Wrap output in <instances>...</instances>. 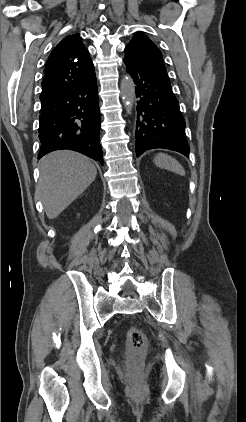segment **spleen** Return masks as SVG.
<instances>
[{
	"label": "spleen",
	"mask_w": 246,
	"mask_h": 422,
	"mask_svg": "<svg viewBox=\"0 0 246 422\" xmlns=\"http://www.w3.org/2000/svg\"><path fill=\"white\" fill-rule=\"evenodd\" d=\"M154 163L160 168L175 172L182 176L185 175V170L182 165L168 154L158 153L154 158Z\"/></svg>",
	"instance_id": "spleen-1"
}]
</instances>
